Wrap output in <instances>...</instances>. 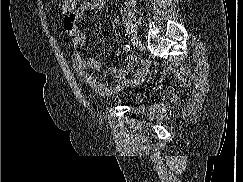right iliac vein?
<instances>
[{"instance_id": "right-iliac-vein-1", "label": "right iliac vein", "mask_w": 243, "mask_h": 182, "mask_svg": "<svg viewBox=\"0 0 243 182\" xmlns=\"http://www.w3.org/2000/svg\"><path fill=\"white\" fill-rule=\"evenodd\" d=\"M131 42H132V45H133L134 48H136V49H141L142 48V44H141V41L139 40V38L133 37L131 39Z\"/></svg>"}]
</instances>
